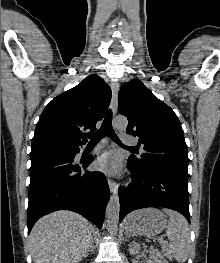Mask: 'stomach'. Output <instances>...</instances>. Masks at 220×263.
<instances>
[{
	"label": "stomach",
	"instance_id": "1",
	"mask_svg": "<svg viewBox=\"0 0 220 263\" xmlns=\"http://www.w3.org/2000/svg\"><path fill=\"white\" fill-rule=\"evenodd\" d=\"M166 227V216L155 208L137 210L131 213L125 222V229L127 231L144 236H155Z\"/></svg>",
	"mask_w": 220,
	"mask_h": 263
}]
</instances>
